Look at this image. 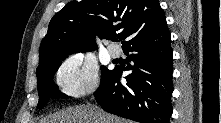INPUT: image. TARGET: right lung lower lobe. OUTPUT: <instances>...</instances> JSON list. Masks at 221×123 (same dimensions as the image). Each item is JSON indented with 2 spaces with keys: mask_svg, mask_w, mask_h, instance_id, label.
<instances>
[{
  "mask_svg": "<svg viewBox=\"0 0 221 123\" xmlns=\"http://www.w3.org/2000/svg\"><path fill=\"white\" fill-rule=\"evenodd\" d=\"M170 33L156 40L137 43L124 50L131 52L129 65L133 70L120 83L122 69L109 71L102 79L95 98L112 114L141 123H169L171 105L172 49Z\"/></svg>",
  "mask_w": 221,
  "mask_h": 123,
  "instance_id": "right-lung-lower-lobe-1",
  "label": "right lung lower lobe"
}]
</instances>
